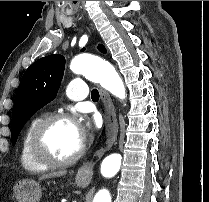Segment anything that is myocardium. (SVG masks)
I'll return each instance as SVG.
<instances>
[{
    "mask_svg": "<svg viewBox=\"0 0 209 202\" xmlns=\"http://www.w3.org/2000/svg\"><path fill=\"white\" fill-rule=\"evenodd\" d=\"M61 121L75 123V118L67 113H57L48 115L41 119L32 131L29 141V152L32 158L39 165L45 168H62L70 166L77 162L84 154L85 143L84 141H82L78 151L69 158L63 160H56L47 155L42 145L43 136L50 126Z\"/></svg>",
    "mask_w": 209,
    "mask_h": 202,
    "instance_id": "myocardium-1",
    "label": "myocardium"
}]
</instances>
